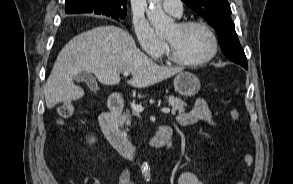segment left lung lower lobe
<instances>
[{
  "instance_id": "left-lung-lower-lobe-1",
  "label": "left lung lower lobe",
  "mask_w": 293,
  "mask_h": 184,
  "mask_svg": "<svg viewBox=\"0 0 293 184\" xmlns=\"http://www.w3.org/2000/svg\"><path fill=\"white\" fill-rule=\"evenodd\" d=\"M235 63L240 64V65L243 66L245 69H248L247 61L239 60V61H237V62H235Z\"/></svg>"
}]
</instances>
